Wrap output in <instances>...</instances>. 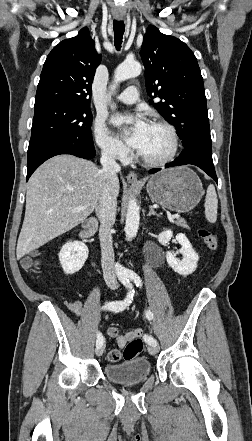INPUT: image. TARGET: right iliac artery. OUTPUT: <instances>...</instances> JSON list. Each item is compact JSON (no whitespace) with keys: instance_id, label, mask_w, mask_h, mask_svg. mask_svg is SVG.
Masks as SVG:
<instances>
[{"instance_id":"82829eb1","label":"right iliac artery","mask_w":252,"mask_h":441,"mask_svg":"<svg viewBox=\"0 0 252 441\" xmlns=\"http://www.w3.org/2000/svg\"><path fill=\"white\" fill-rule=\"evenodd\" d=\"M123 285L129 289L127 297L122 301L109 302L102 307V309L110 310L115 313L123 311L133 300L134 289L128 278L122 280ZM104 344L103 336L100 332L97 333L96 347L99 348Z\"/></svg>"}]
</instances>
